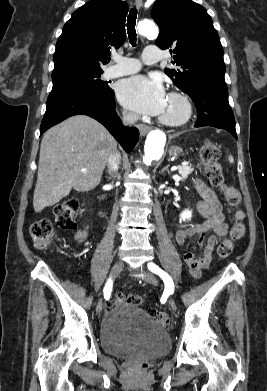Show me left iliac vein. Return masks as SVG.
I'll return each mask as SVG.
<instances>
[{
  "label": "left iliac vein",
  "instance_id": "left-iliac-vein-1",
  "mask_svg": "<svg viewBox=\"0 0 267 391\" xmlns=\"http://www.w3.org/2000/svg\"><path fill=\"white\" fill-rule=\"evenodd\" d=\"M135 273L141 274L142 278L144 279L145 282L152 284V285H157V280L151 272L144 270L142 268H139L135 271ZM168 304L173 311L177 310V305H176V302L173 298H171V297L168 298Z\"/></svg>",
  "mask_w": 267,
  "mask_h": 391
}]
</instances>
